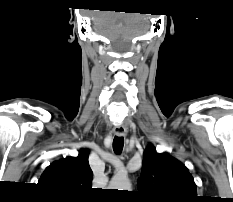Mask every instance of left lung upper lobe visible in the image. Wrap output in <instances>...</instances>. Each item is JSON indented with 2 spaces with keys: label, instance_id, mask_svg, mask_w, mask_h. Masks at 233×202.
Listing matches in <instances>:
<instances>
[{
  "label": "left lung upper lobe",
  "instance_id": "left-lung-upper-lobe-1",
  "mask_svg": "<svg viewBox=\"0 0 233 202\" xmlns=\"http://www.w3.org/2000/svg\"><path fill=\"white\" fill-rule=\"evenodd\" d=\"M145 202H197L196 184L188 169L167 153L148 145L138 182Z\"/></svg>",
  "mask_w": 233,
  "mask_h": 202
}]
</instances>
